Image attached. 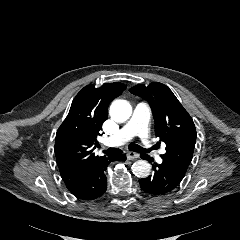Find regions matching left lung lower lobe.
<instances>
[{"instance_id": "obj_1", "label": "left lung lower lobe", "mask_w": 240, "mask_h": 240, "mask_svg": "<svg viewBox=\"0 0 240 240\" xmlns=\"http://www.w3.org/2000/svg\"><path fill=\"white\" fill-rule=\"evenodd\" d=\"M143 159L153 162V158L141 154ZM153 174L139 180L142 190L148 195H163L176 189L185 173L180 172L166 162L153 164Z\"/></svg>"}]
</instances>
